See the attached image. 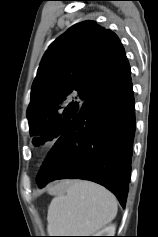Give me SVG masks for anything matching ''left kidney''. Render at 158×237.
<instances>
[{
	"label": "left kidney",
	"instance_id": "obj_1",
	"mask_svg": "<svg viewBox=\"0 0 158 237\" xmlns=\"http://www.w3.org/2000/svg\"><path fill=\"white\" fill-rule=\"evenodd\" d=\"M115 230H116V226L114 224H112V225L104 228L97 234H95V236H114Z\"/></svg>",
	"mask_w": 158,
	"mask_h": 237
}]
</instances>
